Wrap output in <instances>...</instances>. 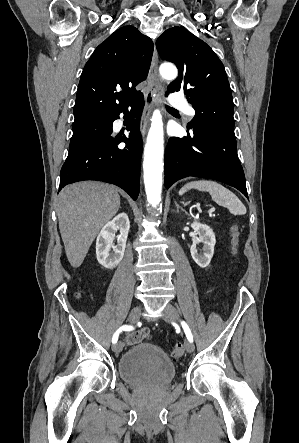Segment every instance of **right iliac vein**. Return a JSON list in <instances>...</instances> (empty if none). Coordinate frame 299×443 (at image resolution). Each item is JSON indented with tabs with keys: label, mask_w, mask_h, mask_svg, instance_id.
<instances>
[{
	"label": "right iliac vein",
	"mask_w": 299,
	"mask_h": 443,
	"mask_svg": "<svg viewBox=\"0 0 299 443\" xmlns=\"http://www.w3.org/2000/svg\"><path fill=\"white\" fill-rule=\"evenodd\" d=\"M140 315H141V307L140 306L134 307L129 314L130 322L131 323L138 322V320L140 319ZM112 349H113L114 353L119 354L123 349V342L119 341L118 343H116L113 346Z\"/></svg>",
	"instance_id": "63e3f726"
}]
</instances>
